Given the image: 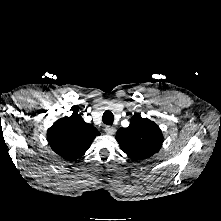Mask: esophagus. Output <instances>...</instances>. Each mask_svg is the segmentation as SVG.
Instances as JSON below:
<instances>
[{
  "mask_svg": "<svg viewBox=\"0 0 221 221\" xmlns=\"http://www.w3.org/2000/svg\"><path fill=\"white\" fill-rule=\"evenodd\" d=\"M104 130L108 135H113L116 132V128L112 126H106Z\"/></svg>",
  "mask_w": 221,
  "mask_h": 221,
  "instance_id": "obj_1",
  "label": "esophagus"
}]
</instances>
